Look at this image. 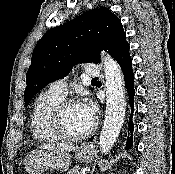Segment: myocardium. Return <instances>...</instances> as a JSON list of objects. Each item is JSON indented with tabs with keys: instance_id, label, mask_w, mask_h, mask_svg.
<instances>
[{
	"instance_id": "f54148a6",
	"label": "myocardium",
	"mask_w": 175,
	"mask_h": 174,
	"mask_svg": "<svg viewBox=\"0 0 175 174\" xmlns=\"http://www.w3.org/2000/svg\"><path fill=\"white\" fill-rule=\"evenodd\" d=\"M80 103L79 99L75 97L63 98L52 110L50 115V125L53 132L59 139L66 141H79L87 138L95 129L94 122L91 126L80 134H70L65 131L63 127V114L68 106L71 104Z\"/></svg>"
}]
</instances>
